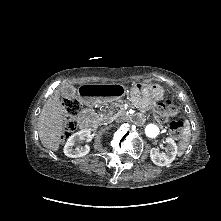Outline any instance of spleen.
<instances>
[{
  "instance_id": "spleen-1",
  "label": "spleen",
  "mask_w": 221,
  "mask_h": 221,
  "mask_svg": "<svg viewBox=\"0 0 221 221\" xmlns=\"http://www.w3.org/2000/svg\"><path fill=\"white\" fill-rule=\"evenodd\" d=\"M189 140H190V128H189V126H187L184 129V134H183V138L181 141V146H182L183 150L187 148V146L189 144Z\"/></svg>"
}]
</instances>
